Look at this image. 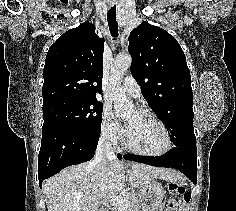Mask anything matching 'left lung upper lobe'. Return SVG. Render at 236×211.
Returning <instances> with one entry per match:
<instances>
[{
    "instance_id": "1",
    "label": "left lung upper lobe",
    "mask_w": 236,
    "mask_h": 211,
    "mask_svg": "<svg viewBox=\"0 0 236 211\" xmlns=\"http://www.w3.org/2000/svg\"><path fill=\"white\" fill-rule=\"evenodd\" d=\"M132 76L149 106L164 122L175 147L196 148L190 71L177 40L142 22L128 38Z\"/></svg>"
}]
</instances>
